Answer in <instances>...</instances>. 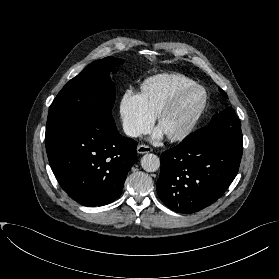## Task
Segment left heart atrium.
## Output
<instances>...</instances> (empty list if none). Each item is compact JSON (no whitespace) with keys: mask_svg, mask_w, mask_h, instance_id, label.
I'll list each match as a JSON object with an SVG mask.
<instances>
[{"mask_svg":"<svg viewBox=\"0 0 279 279\" xmlns=\"http://www.w3.org/2000/svg\"><path fill=\"white\" fill-rule=\"evenodd\" d=\"M163 134H164V133L161 131V129H160V128H157V129L154 131V133H153V139H154V140H160V139H162Z\"/></svg>","mask_w":279,"mask_h":279,"instance_id":"left-heart-atrium-1","label":"left heart atrium"}]
</instances>
